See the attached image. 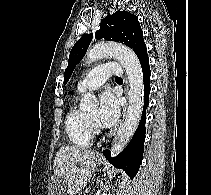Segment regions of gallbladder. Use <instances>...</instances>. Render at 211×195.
Returning a JSON list of instances; mask_svg holds the SVG:
<instances>
[{
  "instance_id": "1",
  "label": "gallbladder",
  "mask_w": 211,
  "mask_h": 195,
  "mask_svg": "<svg viewBox=\"0 0 211 195\" xmlns=\"http://www.w3.org/2000/svg\"><path fill=\"white\" fill-rule=\"evenodd\" d=\"M51 189H52V192L54 193V195H56L57 188L55 187L54 184L52 185Z\"/></svg>"
}]
</instances>
